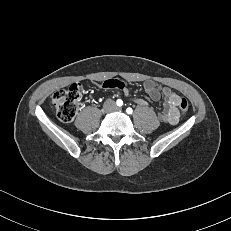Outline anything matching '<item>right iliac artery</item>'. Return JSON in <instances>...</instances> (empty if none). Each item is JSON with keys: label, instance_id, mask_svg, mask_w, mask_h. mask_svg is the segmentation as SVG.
<instances>
[{"label": "right iliac artery", "instance_id": "obj_1", "mask_svg": "<svg viewBox=\"0 0 231 231\" xmlns=\"http://www.w3.org/2000/svg\"><path fill=\"white\" fill-rule=\"evenodd\" d=\"M116 104H117L118 106H122V105H123V101L120 100V99H118L117 102H116Z\"/></svg>", "mask_w": 231, "mask_h": 231}]
</instances>
